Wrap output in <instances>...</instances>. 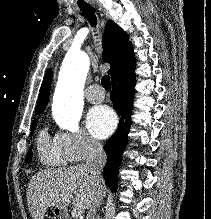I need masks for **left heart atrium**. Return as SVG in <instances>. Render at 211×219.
Wrapping results in <instances>:
<instances>
[{
  "instance_id": "obj_1",
  "label": "left heart atrium",
  "mask_w": 211,
  "mask_h": 219,
  "mask_svg": "<svg viewBox=\"0 0 211 219\" xmlns=\"http://www.w3.org/2000/svg\"><path fill=\"white\" fill-rule=\"evenodd\" d=\"M116 126V117L107 106L91 109L87 116V127L90 133L100 139L109 136Z\"/></svg>"
}]
</instances>
